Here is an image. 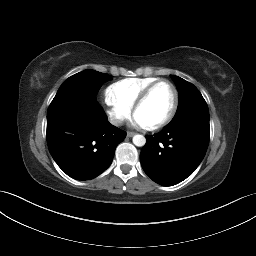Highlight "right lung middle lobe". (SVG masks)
<instances>
[{
    "label": "right lung middle lobe",
    "instance_id": "obj_1",
    "mask_svg": "<svg viewBox=\"0 0 256 256\" xmlns=\"http://www.w3.org/2000/svg\"><path fill=\"white\" fill-rule=\"evenodd\" d=\"M112 78L95 70H85L66 79L60 86L48 110L56 106L79 103L87 97L86 86L89 84L97 94L100 87Z\"/></svg>",
    "mask_w": 256,
    "mask_h": 256
}]
</instances>
